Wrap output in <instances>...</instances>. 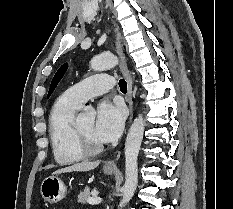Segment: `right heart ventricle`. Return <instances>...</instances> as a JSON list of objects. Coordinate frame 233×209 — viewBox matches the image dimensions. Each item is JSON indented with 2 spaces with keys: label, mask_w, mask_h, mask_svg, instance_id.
Masks as SVG:
<instances>
[{
  "label": "right heart ventricle",
  "mask_w": 233,
  "mask_h": 209,
  "mask_svg": "<svg viewBox=\"0 0 233 209\" xmlns=\"http://www.w3.org/2000/svg\"><path fill=\"white\" fill-rule=\"evenodd\" d=\"M80 106L72 102L66 93L54 103L49 116V138L55 161L70 165L81 161L84 155L74 140V119Z\"/></svg>",
  "instance_id": "e07e8e85"
}]
</instances>
